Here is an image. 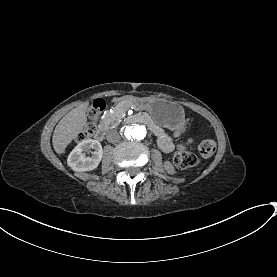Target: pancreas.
<instances>
[{
    "instance_id": "cf45deb5",
    "label": "pancreas",
    "mask_w": 277,
    "mask_h": 277,
    "mask_svg": "<svg viewBox=\"0 0 277 277\" xmlns=\"http://www.w3.org/2000/svg\"><path fill=\"white\" fill-rule=\"evenodd\" d=\"M130 112V107L127 103L122 102L115 105V107L110 108L104 117V120L107 124L112 125L116 121L121 119V116H126Z\"/></svg>"
}]
</instances>
